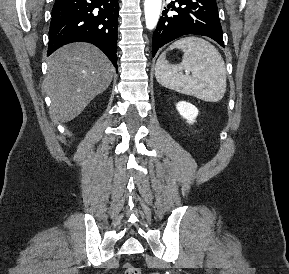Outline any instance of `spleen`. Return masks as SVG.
I'll return each instance as SVG.
<instances>
[{"instance_id":"obj_1","label":"spleen","mask_w":289,"mask_h":274,"mask_svg":"<svg viewBox=\"0 0 289 274\" xmlns=\"http://www.w3.org/2000/svg\"><path fill=\"white\" fill-rule=\"evenodd\" d=\"M172 49L183 51L182 62L170 65L166 51L163 52L155 66L157 81L168 89L203 101L221 100L226 91V68L218 50L208 41L194 36L175 41L168 50Z\"/></svg>"}]
</instances>
